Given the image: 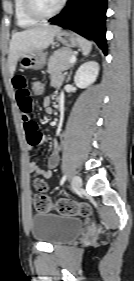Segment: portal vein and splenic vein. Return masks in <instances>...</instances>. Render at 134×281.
Instances as JSON below:
<instances>
[{"label": "portal vein and splenic vein", "instance_id": "18ae733b", "mask_svg": "<svg viewBox=\"0 0 134 281\" xmlns=\"http://www.w3.org/2000/svg\"><path fill=\"white\" fill-rule=\"evenodd\" d=\"M76 61V56H72L69 60V63H74Z\"/></svg>", "mask_w": 134, "mask_h": 281}]
</instances>
